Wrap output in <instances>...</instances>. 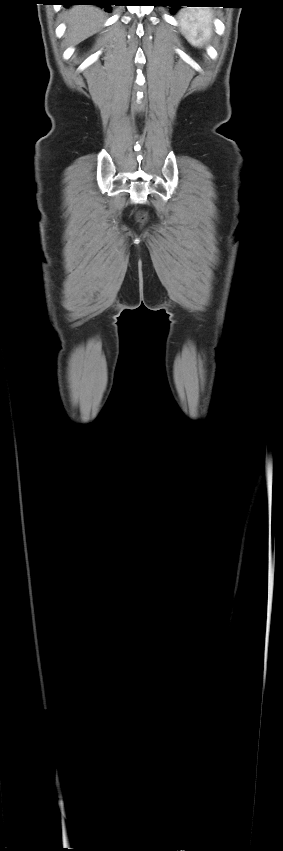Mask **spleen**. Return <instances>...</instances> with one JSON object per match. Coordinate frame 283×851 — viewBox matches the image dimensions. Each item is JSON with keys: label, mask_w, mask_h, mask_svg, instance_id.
Returning <instances> with one entry per match:
<instances>
[{"label": "spleen", "mask_w": 283, "mask_h": 851, "mask_svg": "<svg viewBox=\"0 0 283 851\" xmlns=\"http://www.w3.org/2000/svg\"><path fill=\"white\" fill-rule=\"evenodd\" d=\"M181 32L195 47H202L212 33V13L208 8H186L179 13Z\"/></svg>", "instance_id": "spleen-1"}]
</instances>
